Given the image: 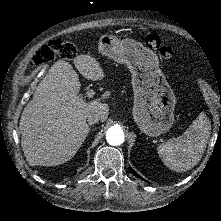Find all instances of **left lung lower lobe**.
I'll return each mask as SVG.
<instances>
[{
    "mask_svg": "<svg viewBox=\"0 0 221 221\" xmlns=\"http://www.w3.org/2000/svg\"><path fill=\"white\" fill-rule=\"evenodd\" d=\"M130 171L133 173L134 176H136L138 178H141L132 168H130Z\"/></svg>",
    "mask_w": 221,
    "mask_h": 221,
    "instance_id": "1",
    "label": "left lung lower lobe"
}]
</instances>
